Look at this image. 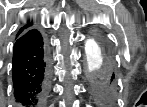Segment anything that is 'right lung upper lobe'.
Segmentation results:
<instances>
[{"label": "right lung upper lobe", "mask_w": 147, "mask_h": 107, "mask_svg": "<svg viewBox=\"0 0 147 107\" xmlns=\"http://www.w3.org/2000/svg\"><path fill=\"white\" fill-rule=\"evenodd\" d=\"M33 22L28 21L27 24H25L17 33L16 37H19L22 35L29 27H31Z\"/></svg>", "instance_id": "cb5924a9"}]
</instances>
